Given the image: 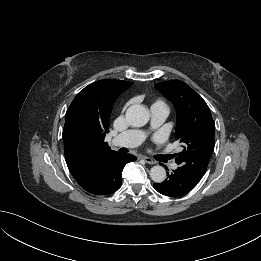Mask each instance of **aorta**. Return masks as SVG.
Masks as SVG:
<instances>
[{
	"label": "aorta",
	"instance_id": "1",
	"mask_svg": "<svg viewBox=\"0 0 261 261\" xmlns=\"http://www.w3.org/2000/svg\"><path fill=\"white\" fill-rule=\"evenodd\" d=\"M149 111L141 105L130 106L125 114L126 121L133 127H142L149 121ZM150 177L156 183H161L166 179V170L157 165L150 169Z\"/></svg>",
	"mask_w": 261,
	"mask_h": 261
}]
</instances>
